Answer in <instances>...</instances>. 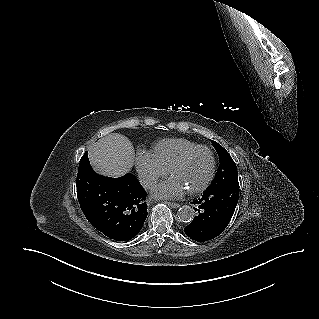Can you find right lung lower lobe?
Here are the masks:
<instances>
[{"label":"right lung lower lobe","instance_id":"obj_1","mask_svg":"<svg viewBox=\"0 0 319 319\" xmlns=\"http://www.w3.org/2000/svg\"><path fill=\"white\" fill-rule=\"evenodd\" d=\"M77 196L87 220L105 236L127 241L134 238L147 217V193L133 174L120 178L96 174L87 152L80 160Z\"/></svg>","mask_w":319,"mask_h":319}]
</instances>
